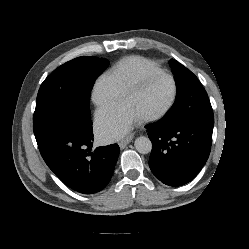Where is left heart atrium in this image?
<instances>
[{"label":"left heart atrium","instance_id":"39dd6f15","mask_svg":"<svg viewBox=\"0 0 249 249\" xmlns=\"http://www.w3.org/2000/svg\"><path fill=\"white\" fill-rule=\"evenodd\" d=\"M139 119L126 102H119L98 111L97 133L104 140H116L124 136Z\"/></svg>","mask_w":249,"mask_h":249}]
</instances>
